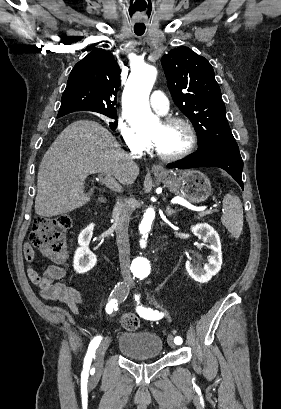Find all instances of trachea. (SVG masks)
I'll return each mask as SVG.
<instances>
[{"label": "trachea", "mask_w": 281, "mask_h": 409, "mask_svg": "<svg viewBox=\"0 0 281 409\" xmlns=\"http://www.w3.org/2000/svg\"><path fill=\"white\" fill-rule=\"evenodd\" d=\"M143 33H144V32H141V33H136V35H143Z\"/></svg>", "instance_id": "3493384b"}]
</instances>
